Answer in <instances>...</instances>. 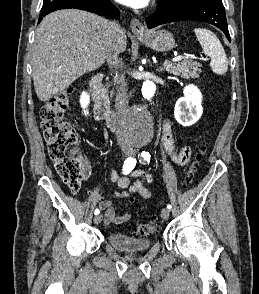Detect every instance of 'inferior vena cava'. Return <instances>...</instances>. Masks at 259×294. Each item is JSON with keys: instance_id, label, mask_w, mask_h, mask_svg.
Returning a JSON list of instances; mask_svg holds the SVG:
<instances>
[{"instance_id": "inferior-vena-cava-1", "label": "inferior vena cava", "mask_w": 259, "mask_h": 294, "mask_svg": "<svg viewBox=\"0 0 259 294\" xmlns=\"http://www.w3.org/2000/svg\"><path fill=\"white\" fill-rule=\"evenodd\" d=\"M111 37L107 44V61L110 66L122 67L123 63L119 58L121 53L120 35L123 29L117 21L109 22ZM117 94H116V114L119 122H122L128 110L127 85L125 82V74L116 72ZM120 139V138H119Z\"/></svg>"}]
</instances>
